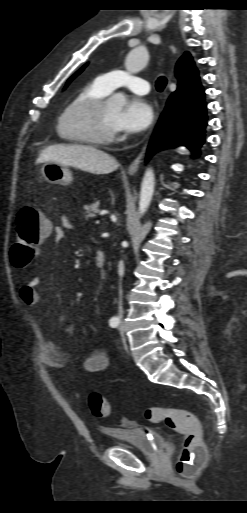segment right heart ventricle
Returning a JSON list of instances; mask_svg holds the SVG:
<instances>
[{"mask_svg": "<svg viewBox=\"0 0 247 513\" xmlns=\"http://www.w3.org/2000/svg\"><path fill=\"white\" fill-rule=\"evenodd\" d=\"M110 92L105 90L97 80H94L87 85H85L80 91L77 92V94L71 99V101L66 105V107L63 109L59 120H58V132L59 135L66 141L73 142V143H80L82 141L73 138L66 134L62 127V118L64 116V113L66 110L70 107H73L83 101H86L88 99L92 98H105Z\"/></svg>", "mask_w": 247, "mask_h": 513, "instance_id": "e07e8e85", "label": "right heart ventricle"}]
</instances>
